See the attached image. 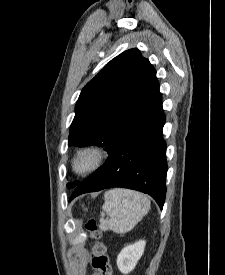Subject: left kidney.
I'll use <instances>...</instances> for the list:
<instances>
[{"mask_svg":"<svg viewBox=\"0 0 225 275\" xmlns=\"http://www.w3.org/2000/svg\"><path fill=\"white\" fill-rule=\"evenodd\" d=\"M146 242L140 240L135 244L126 246L117 257V266L121 273H130L137 265L138 260L144 253Z\"/></svg>","mask_w":225,"mask_h":275,"instance_id":"5707ae66","label":"left kidney"}]
</instances>
